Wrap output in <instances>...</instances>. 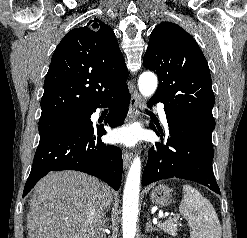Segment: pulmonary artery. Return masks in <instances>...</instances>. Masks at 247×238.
Here are the masks:
<instances>
[{"label":"pulmonary artery","mask_w":247,"mask_h":238,"mask_svg":"<svg viewBox=\"0 0 247 238\" xmlns=\"http://www.w3.org/2000/svg\"><path fill=\"white\" fill-rule=\"evenodd\" d=\"M157 110H158V114H159V117L161 119V121L166 124L167 123V116H166V112H165V109H164V105L163 104H158L157 105Z\"/></svg>","instance_id":"e3ab8cb5"}]
</instances>
